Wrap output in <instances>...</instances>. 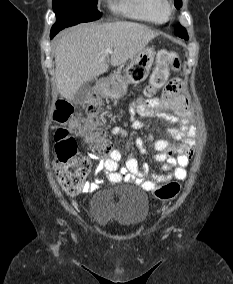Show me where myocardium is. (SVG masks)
<instances>
[{"instance_id":"f54148a6","label":"myocardium","mask_w":233,"mask_h":284,"mask_svg":"<svg viewBox=\"0 0 233 284\" xmlns=\"http://www.w3.org/2000/svg\"><path fill=\"white\" fill-rule=\"evenodd\" d=\"M161 12L165 18H168L174 11L173 5L168 0H162Z\"/></svg>"}]
</instances>
